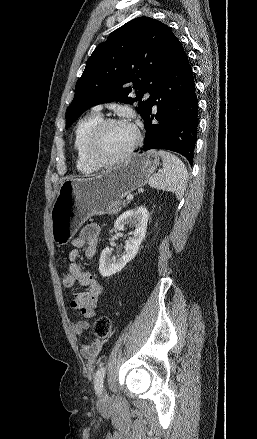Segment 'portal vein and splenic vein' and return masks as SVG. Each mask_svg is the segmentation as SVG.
<instances>
[{"label":"portal vein and splenic vein","mask_w":257,"mask_h":439,"mask_svg":"<svg viewBox=\"0 0 257 439\" xmlns=\"http://www.w3.org/2000/svg\"><path fill=\"white\" fill-rule=\"evenodd\" d=\"M126 199L127 200H132L133 199V195L132 194L127 195Z\"/></svg>","instance_id":"18ae733b"}]
</instances>
